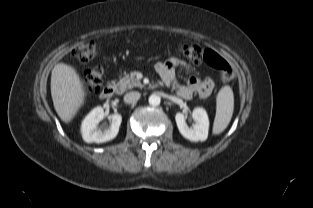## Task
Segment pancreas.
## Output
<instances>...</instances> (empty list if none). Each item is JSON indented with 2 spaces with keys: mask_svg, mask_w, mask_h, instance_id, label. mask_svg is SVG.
Masks as SVG:
<instances>
[{
  "mask_svg": "<svg viewBox=\"0 0 313 208\" xmlns=\"http://www.w3.org/2000/svg\"><path fill=\"white\" fill-rule=\"evenodd\" d=\"M117 86V93L122 94L127 89H132L133 87H141L142 84L139 80L136 79L135 72H132L130 74H125V76L119 80Z\"/></svg>",
  "mask_w": 313,
  "mask_h": 208,
  "instance_id": "obj_1",
  "label": "pancreas"
}]
</instances>
